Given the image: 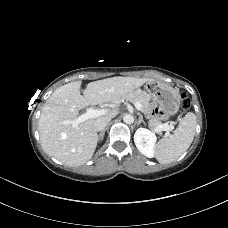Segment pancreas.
Instances as JSON below:
<instances>
[{
    "label": "pancreas",
    "instance_id": "cf45deb5",
    "mask_svg": "<svg viewBox=\"0 0 228 228\" xmlns=\"http://www.w3.org/2000/svg\"><path fill=\"white\" fill-rule=\"evenodd\" d=\"M124 100H128L131 103L139 102L142 105V112L146 115V118L150 119V116H149L150 111H151L150 97L145 92H143L141 90H135L131 93L123 95L121 98H119L115 102L119 103ZM165 124L169 125V123L163 124L160 121V119H158V118H151L148 122L149 127L153 131H155L159 134H161V131H163L160 129V127Z\"/></svg>",
    "mask_w": 228,
    "mask_h": 228
}]
</instances>
